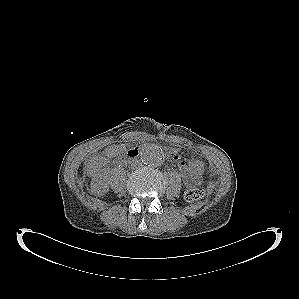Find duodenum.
<instances>
[{"instance_id":"duodenum-1","label":"duodenum","mask_w":299,"mask_h":299,"mask_svg":"<svg viewBox=\"0 0 299 299\" xmlns=\"http://www.w3.org/2000/svg\"><path fill=\"white\" fill-rule=\"evenodd\" d=\"M140 150L138 148L130 149L125 155L124 159L121 160L122 164L130 163L138 158Z\"/></svg>"}]
</instances>
